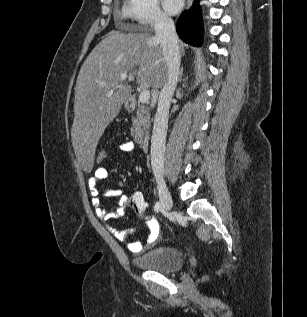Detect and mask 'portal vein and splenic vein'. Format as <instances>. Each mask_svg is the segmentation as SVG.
Listing matches in <instances>:
<instances>
[{"label":"portal vein and splenic vein","instance_id":"obj_1","mask_svg":"<svg viewBox=\"0 0 307 317\" xmlns=\"http://www.w3.org/2000/svg\"><path fill=\"white\" fill-rule=\"evenodd\" d=\"M128 74L127 73H121L120 77H119V81H124L128 78ZM150 99V92L148 89L144 88L139 95V101L144 104L146 102H148V100Z\"/></svg>","mask_w":307,"mask_h":317}]
</instances>
